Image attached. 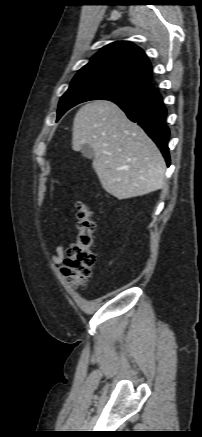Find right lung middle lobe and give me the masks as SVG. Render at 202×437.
<instances>
[{"instance_id": "obj_1", "label": "right lung middle lobe", "mask_w": 202, "mask_h": 437, "mask_svg": "<svg viewBox=\"0 0 202 437\" xmlns=\"http://www.w3.org/2000/svg\"><path fill=\"white\" fill-rule=\"evenodd\" d=\"M153 85L108 71L78 72L59 102L57 120L73 106L89 100H116L135 97L149 91Z\"/></svg>"}]
</instances>
